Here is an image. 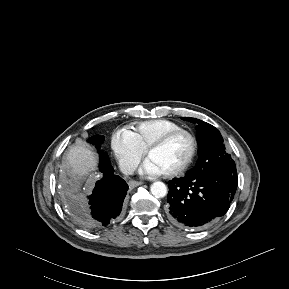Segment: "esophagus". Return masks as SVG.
Masks as SVG:
<instances>
[{"label": "esophagus", "instance_id": "1", "mask_svg": "<svg viewBox=\"0 0 289 289\" xmlns=\"http://www.w3.org/2000/svg\"><path fill=\"white\" fill-rule=\"evenodd\" d=\"M141 184H142V182H140V181H135V180H130L129 181V187L131 189H133V188H135V187H137V186H139Z\"/></svg>", "mask_w": 289, "mask_h": 289}]
</instances>
